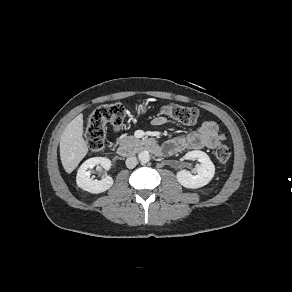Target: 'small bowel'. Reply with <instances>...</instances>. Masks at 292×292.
<instances>
[{
	"mask_svg": "<svg viewBox=\"0 0 292 292\" xmlns=\"http://www.w3.org/2000/svg\"><path fill=\"white\" fill-rule=\"evenodd\" d=\"M166 119L162 116L153 118L154 126L165 124ZM218 124L212 120H205L200 127L186 134L178 135L167 141L165 147L169 154L182 152L185 149L215 148L217 145ZM160 149V148H159Z\"/></svg>",
	"mask_w": 292,
	"mask_h": 292,
	"instance_id": "obj_1",
	"label": "small bowel"
}]
</instances>
